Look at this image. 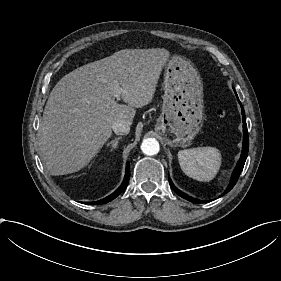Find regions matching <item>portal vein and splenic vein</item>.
Here are the masks:
<instances>
[{"mask_svg": "<svg viewBox=\"0 0 281 281\" xmlns=\"http://www.w3.org/2000/svg\"><path fill=\"white\" fill-rule=\"evenodd\" d=\"M122 92L121 87L118 85V83L116 84L115 88H114V97L116 99H120V94Z\"/></svg>", "mask_w": 281, "mask_h": 281, "instance_id": "18ae733b", "label": "portal vein and splenic vein"}]
</instances>
